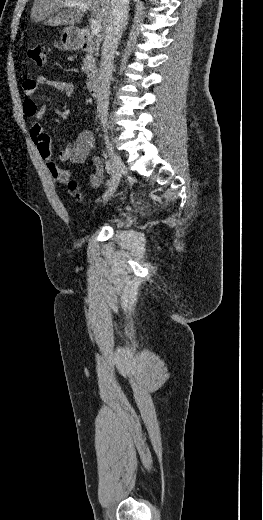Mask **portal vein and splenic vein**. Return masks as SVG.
Listing matches in <instances>:
<instances>
[{"label": "portal vein and splenic vein", "instance_id": "portal-vein-and-splenic-vein-1", "mask_svg": "<svg viewBox=\"0 0 263 520\" xmlns=\"http://www.w3.org/2000/svg\"><path fill=\"white\" fill-rule=\"evenodd\" d=\"M67 5L70 6V7H79V8L84 9V10H90V8H89V6L87 4L79 2V1L68 2ZM100 29H101L100 21L97 20V19H93L91 21V32H92V34L93 35H98L99 32H100Z\"/></svg>", "mask_w": 263, "mask_h": 520}]
</instances>
